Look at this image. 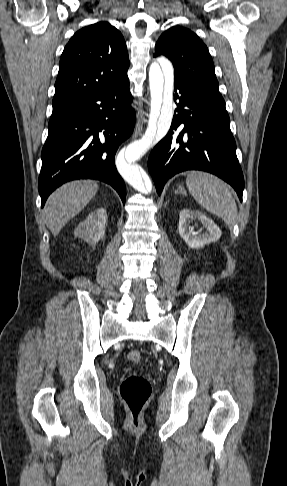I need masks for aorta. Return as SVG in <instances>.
<instances>
[{
  "mask_svg": "<svg viewBox=\"0 0 287 486\" xmlns=\"http://www.w3.org/2000/svg\"><path fill=\"white\" fill-rule=\"evenodd\" d=\"M173 84V66L168 59L161 58L151 64L149 70L151 110L147 129L139 140L127 147L125 151L127 161L121 160L117 163L123 179L140 192L151 190L152 185H145L141 171L133 161L154 143L160 141L169 131L173 119Z\"/></svg>",
  "mask_w": 287,
  "mask_h": 486,
  "instance_id": "762f6f07",
  "label": "aorta"
}]
</instances>
